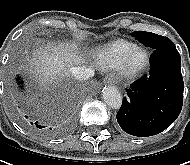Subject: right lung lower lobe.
Returning a JSON list of instances; mask_svg holds the SVG:
<instances>
[{
  "label": "right lung lower lobe",
  "mask_w": 190,
  "mask_h": 165,
  "mask_svg": "<svg viewBox=\"0 0 190 165\" xmlns=\"http://www.w3.org/2000/svg\"><path fill=\"white\" fill-rule=\"evenodd\" d=\"M18 82H19V77L17 78ZM20 84V82H19ZM18 115H19V118L25 122L26 124H28L30 126V124L32 125V127L36 130H40L41 131H44L46 133H56L57 130L56 128H54L53 130H51V128H45V126L41 123L38 122L37 118L34 117L33 115H27L23 112H19L18 111Z\"/></svg>",
  "instance_id": "98d812e1"
}]
</instances>
